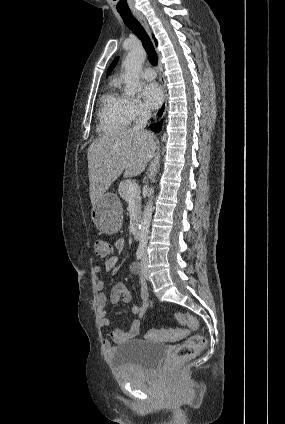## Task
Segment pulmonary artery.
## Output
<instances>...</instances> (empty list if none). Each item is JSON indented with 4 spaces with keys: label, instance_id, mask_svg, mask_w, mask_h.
<instances>
[{
    "label": "pulmonary artery",
    "instance_id": "e3ab8cb5",
    "mask_svg": "<svg viewBox=\"0 0 285 424\" xmlns=\"http://www.w3.org/2000/svg\"><path fill=\"white\" fill-rule=\"evenodd\" d=\"M141 75H142V77H143L144 79H146V80H153V79H155V78H156V73H155V71H154L152 68H150V67H148V68H144V69L141 71Z\"/></svg>",
    "mask_w": 285,
    "mask_h": 424
}]
</instances>
